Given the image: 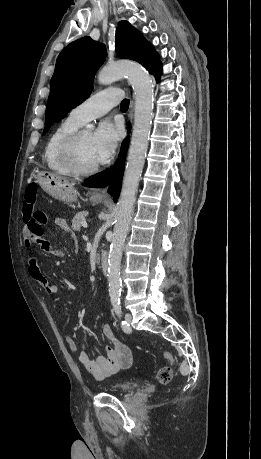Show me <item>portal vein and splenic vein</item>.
Masks as SVG:
<instances>
[{
    "instance_id": "portal-vein-and-splenic-vein-1",
    "label": "portal vein and splenic vein",
    "mask_w": 261,
    "mask_h": 459,
    "mask_svg": "<svg viewBox=\"0 0 261 459\" xmlns=\"http://www.w3.org/2000/svg\"><path fill=\"white\" fill-rule=\"evenodd\" d=\"M82 226L87 227V223L85 221L82 222Z\"/></svg>"
}]
</instances>
